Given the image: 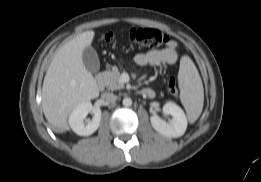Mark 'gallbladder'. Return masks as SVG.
<instances>
[{
  "label": "gallbladder",
  "instance_id": "obj_1",
  "mask_svg": "<svg viewBox=\"0 0 261 182\" xmlns=\"http://www.w3.org/2000/svg\"><path fill=\"white\" fill-rule=\"evenodd\" d=\"M82 60L85 68L91 74H96L100 68V62L96 50L91 47H85L82 52Z\"/></svg>",
  "mask_w": 261,
  "mask_h": 182
}]
</instances>
